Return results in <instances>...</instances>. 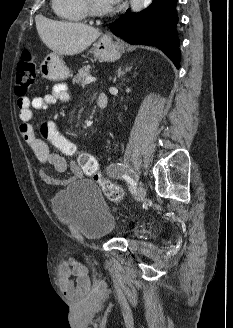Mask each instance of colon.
Masks as SVG:
<instances>
[{
    "mask_svg": "<svg viewBox=\"0 0 233 328\" xmlns=\"http://www.w3.org/2000/svg\"><path fill=\"white\" fill-rule=\"evenodd\" d=\"M36 72L34 56L29 49H25L17 64L15 91L18 96H24L33 85ZM41 133L45 139L49 140L65 155H73L77 152L76 146L57 132L50 124H43ZM78 164L86 174L94 176L109 200L119 202L123 199V191L120 186L98 173V163L93 156L87 153L80 154Z\"/></svg>",
    "mask_w": 233,
    "mask_h": 328,
    "instance_id": "1",
    "label": "colon"
}]
</instances>
